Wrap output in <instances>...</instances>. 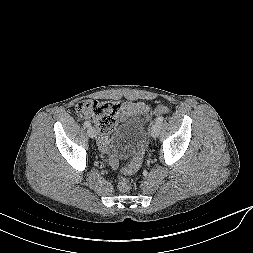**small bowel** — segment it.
<instances>
[{
	"mask_svg": "<svg viewBox=\"0 0 253 253\" xmlns=\"http://www.w3.org/2000/svg\"><path fill=\"white\" fill-rule=\"evenodd\" d=\"M121 109L128 111L129 113L142 115L144 118H148L152 113L153 114H162L167 111V108L163 105L157 106L152 110L144 102H124L121 104ZM100 143L102 147L109 152L110 165L115 168L119 164V158L110 152V140L106 135L101 136Z\"/></svg>",
	"mask_w": 253,
	"mask_h": 253,
	"instance_id": "obj_1",
	"label": "small bowel"
}]
</instances>
